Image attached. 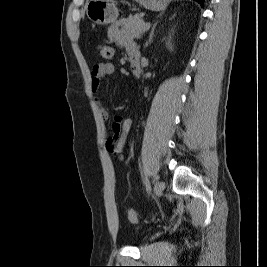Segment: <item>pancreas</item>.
Returning <instances> with one entry per match:
<instances>
[{"label": "pancreas", "mask_w": 267, "mask_h": 267, "mask_svg": "<svg viewBox=\"0 0 267 267\" xmlns=\"http://www.w3.org/2000/svg\"><path fill=\"white\" fill-rule=\"evenodd\" d=\"M123 25V29L132 38L140 39L145 32V22L143 20V14L129 16L127 19L123 20Z\"/></svg>", "instance_id": "obj_1"}]
</instances>
